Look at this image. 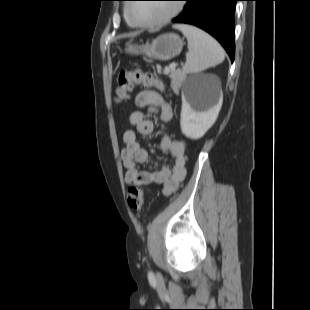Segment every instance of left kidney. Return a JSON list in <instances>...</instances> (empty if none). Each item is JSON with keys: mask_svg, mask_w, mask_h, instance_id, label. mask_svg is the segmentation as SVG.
I'll use <instances>...</instances> for the list:
<instances>
[{"mask_svg": "<svg viewBox=\"0 0 310 310\" xmlns=\"http://www.w3.org/2000/svg\"><path fill=\"white\" fill-rule=\"evenodd\" d=\"M220 111V105L209 109L197 108L190 95H182L181 130L191 139H200L213 126Z\"/></svg>", "mask_w": 310, "mask_h": 310, "instance_id": "1", "label": "left kidney"}]
</instances>
